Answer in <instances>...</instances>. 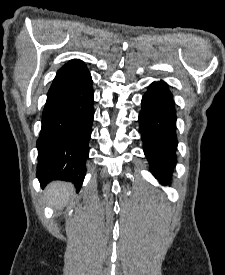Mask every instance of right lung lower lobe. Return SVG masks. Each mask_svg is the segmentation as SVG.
<instances>
[{
  "label": "right lung lower lobe",
  "instance_id": "obj_1",
  "mask_svg": "<svg viewBox=\"0 0 225 275\" xmlns=\"http://www.w3.org/2000/svg\"><path fill=\"white\" fill-rule=\"evenodd\" d=\"M92 79L47 93L37 140V177L42 186L65 180L80 188L86 174L92 131Z\"/></svg>",
  "mask_w": 225,
  "mask_h": 275
}]
</instances>
